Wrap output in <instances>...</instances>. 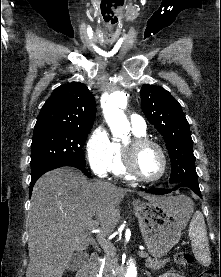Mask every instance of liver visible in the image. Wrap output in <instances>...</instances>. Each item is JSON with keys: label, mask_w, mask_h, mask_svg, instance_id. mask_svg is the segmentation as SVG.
Masks as SVG:
<instances>
[{"label": "liver", "mask_w": 221, "mask_h": 277, "mask_svg": "<svg viewBox=\"0 0 221 277\" xmlns=\"http://www.w3.org/2000/svg\"><path fill=\"white\" fill-rule=\"evenodd\" d=\"M130 192L104 181H89L79 170L62 167L35 183L29 210V264L26 277H62L75 251L86 250L89 223L96 218L111 233L120 204ZM142 198L168 204V197L138 192ZM179 198L171 197L178 201Z\"/></svg>", "instance_id": "obj_1"}]
</instances>
